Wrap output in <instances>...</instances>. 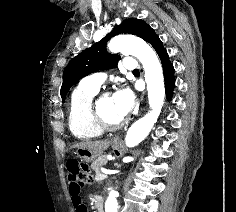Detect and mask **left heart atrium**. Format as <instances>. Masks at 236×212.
<instances>
[{
    "label": "left heart atrium",
    "instance_id": "left-heart-atrium-1",
    "mask_svg": "<svg viewBox=\"0 0 236 212\" xmlns=\"http://www.w3.org/2000/svg\"><path fill=\"white\" fill-rule=\"evenodd\" d=\"M113 99L116 112L122 118L126 117L135 106V96L128 88H123L115 92L113 94Z\"/></svg>",
    "mask_w": 236,
    "mask_h": 212
}]
</instances>
